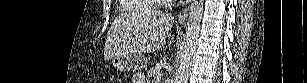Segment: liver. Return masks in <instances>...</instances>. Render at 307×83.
Instances as JSON below:
<instances>
[{
    "label": "liver",
    "instance_id": "obj_1",
    "mask_svg": "<svg viewBox=\"0 0 307 83\" xmlns=\"http://www.w3.org/2000/svg\"><path fill=\"white\" fill-rule=\"evenodd\" d=\"M174 18L147 10L124 14L111 24L104 48L106 61L117 55H142L160 50L171 31ZM173 42V37L169 45Z\"/></svg>",
    "mask_w": 307,
    "mask_h": 83
}]
</instances>
